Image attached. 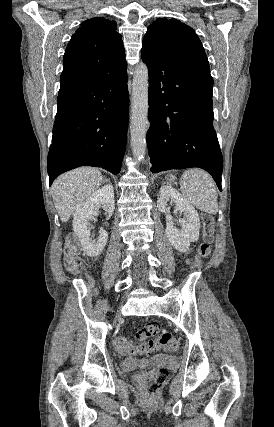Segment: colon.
<instances>
[{
	"label": "colon",
	"instance_id": "5ec220e1",
	"mask_svg": "<svg viewBox=\"0 0 274 427\" xmlns=\"http://www.w3.org/2000/svg\"><path fill=\"white\" fill-rule=\"evenodd\" d=\"M214 239V220L210 215L204 218V228L202 232V242L198 247L197 256L205 258L209 255L210 245ZM65 261L64 265L67 271L76 272L80 266V259L77 255V248L73 241H67L64 247ZM135 338L139 342L137 346L126 336H118L114 341L115 349L120 354L134 351L137 347L138 351L145 355L149 349H155L156 346H161L164 351L174 352L178 348V340L169 332H162L161 327L157 323H147L138 329L135 333ZM148 341L145 345L144 342ZM166 377L165 369L154 371L152 376L139 374L135 377L134 383L139 388L140 395H158L159 389L164 388Z\"/></svg>",
	"mask_w": 274,
	"mask_h": 427
}]
</instances>
